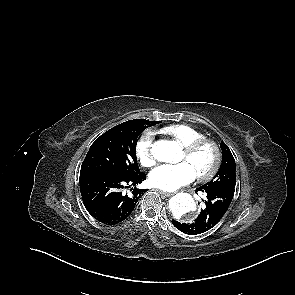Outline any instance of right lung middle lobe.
<instances>
[{
    "label": "right lung middle lobe",
    "instance_id": "right-lung-middle-lobe-1",
    "mask_svg": "<svg viewBox=\"0 0 295 295\" xmlns=\"http://www.w3.org/2000/svg\"><path fill=\"white\" fill-rule=\"evenodd\" d=\"M158 123L160 121L133 119L108 130L91 145L82 163L80 175L140 172L136 157L137 138L146 128Z\"/></svg>",
    "mask_w": 295,
    "mask_h": 295
}]
</instances>
